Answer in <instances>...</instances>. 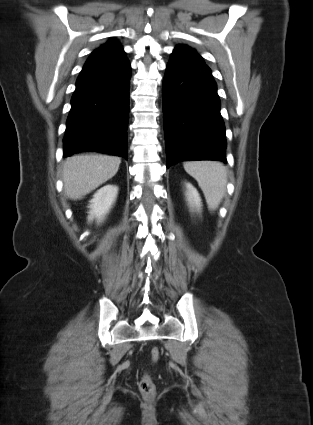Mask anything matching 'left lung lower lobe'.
Here are the masks:
<instances>
[{"label": "left lung lower lobe", "mask_w": 313, "mask_h": 425, "mask_svg": "<svg viewBox=\"0 0 313 425\" xmlns=\"http://www.w3.org/2000/svg\"><path fill=\"white\" fill-rule=\"evenodd\" d=\"M162 96L167 167L181 161L226 162L225 126L210 68L172 54Z\"/></svg>", "instance_id": "left-lung-lower-lobe-1"}]
</instances>
